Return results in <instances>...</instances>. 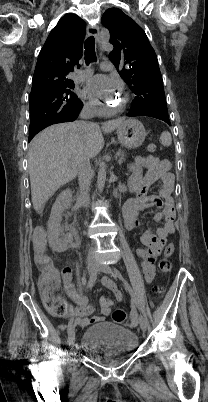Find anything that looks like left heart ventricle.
I'll return each instance as SVG.
<instances>
[{"mask_svg": "<svg viewBox=\"0 0 208 402\" xmlns=\"http://www.w3.org/2000/svg\"><path fill=\"white\" fill-rule=\"evenodd\" d=\"M104 97H107L106 100H118V98H112L109 94H105Z\"/></svg>", "mask_w": 208, "mask_h": 402, "instance_id": "obj_1", "label": "left heart ventricle"}]
</instances>
